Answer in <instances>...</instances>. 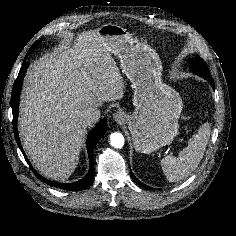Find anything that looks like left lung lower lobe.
<instances>
[{"instance_id": "0a47b994", "label": "left lung lower lobe", "mask_w": 236, "mask_h": 236, "mask_svg": "<svg viewBox=\"0 0 236 236\" xmlns=\"http://www.w3.org/2000/svg\"><path fill=\"white\" fill-rule=\"evenodd\" d=\"M203 78H205L207 81H209L210 85L214 88V82H213L212 77H203ZM131 175H132V178L134 179V181L136 183H138L140 186H142L145 189L152 190L151 187H149V186L143 184L142 182H140L132 173H131Z\"/></svg>"}]
</instances>
